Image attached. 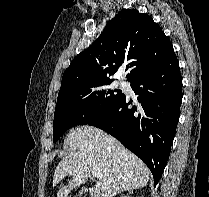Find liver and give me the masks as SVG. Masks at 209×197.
<instances>
[{"mask_svg":"<svg viewBox=\"0 0 209 197\" xmlns=\"http://www.w3.org/2000/svg\"><path fill=\"white\" fill-rule=\"evenodd\" d=\"M64 143L71 148V153L56 167L53 187L65 176H72V179L58 191L57 197H67L73 188L85 183L93 167L102 173L95 185L99 197H113L124 191L143 188L148 183L150 173L142 160L98 128L76 127Z\"/></svg>","mask_w":209,"mask_h":197,"instance_id":"1","label":"liver"}]
</instances>
